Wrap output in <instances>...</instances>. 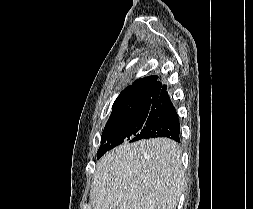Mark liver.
Segmentation results:
<instances>
[{"label":"liver","mask_w":253,"mask_h":209,"mask_svg":"<svg viewBox=\"0 0 253 209\" xmlns=\"http://www.w3.org/2000/svg\"><path fill=\"white\" fill-rule=\"evenodd\" d=\"M184 184L176 142H125L97 162L90 199L93 209H176Z\"/></svg>","instance_id":"obj_1"}]
</instances>
